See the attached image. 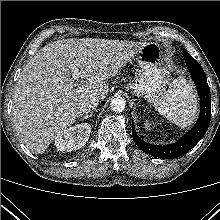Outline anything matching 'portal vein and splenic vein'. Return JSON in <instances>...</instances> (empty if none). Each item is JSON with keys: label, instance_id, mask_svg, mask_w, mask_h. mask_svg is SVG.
<instances>
[{"label": "portal vein and splenic vein", "instance_id": "portal-vein-and-splenic-vein-1", "mask_svg": "<svg viewBox=\"0 0 220 220\" xmlns=\"http://www.w3.org/2000/svg\"><path fill=\"white\" fill-rule=\"evenodd\" d=\"M72 78L73 80H77L79 78V70L76 68V66H72Z\"/></svg>", "mask_w": 220, "mask_h": 220}]
</instances>
